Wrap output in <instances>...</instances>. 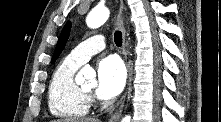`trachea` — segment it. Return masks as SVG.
I'll return each mask as SVG.
<instances>
[{"label": "trachea", "instance_id": "3493384b", "mask_svg": "<svg viewBox=\"0 0 221 122\" xmlns=\"http://www.w3.org/2000/svg\"><path fill=\"white\" fill-rule=\"evenodd\" d=\"M114 41L117 46L122 45V33L120 31H116L114 34Z\"/></svg>", "mask_w": 221, "mask_h": 122}]
</instances>
